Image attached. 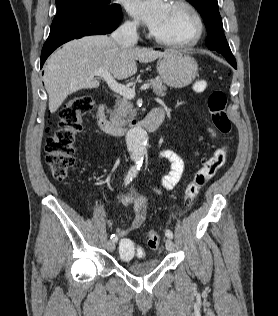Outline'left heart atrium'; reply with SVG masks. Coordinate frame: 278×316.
Segmentation results:
<instances>
[{
	"instance_id": "1",
	"label": "left heart atrium",
	"mask_w": 278,
	"mask_h": 316,
	"mask_svg": "<svg viewBox=\"0 0 278 316\" xmlns=\"http://www.w3.org/2000/svg\"><path fill=\"white\" fill-rule=\"evenodd\" d=\"M169 8L167 0H130L128 12L152 32L161 24Z\"/></svg>"
}]
</instances>
